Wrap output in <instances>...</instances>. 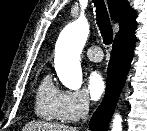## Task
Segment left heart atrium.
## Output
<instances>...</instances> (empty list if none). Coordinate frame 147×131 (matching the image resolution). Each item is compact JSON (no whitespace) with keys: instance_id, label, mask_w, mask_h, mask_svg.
Here are the masks:
<instances>
[{"instance_id":"left-heart-atrium-1","label":"left heart atrium","mask_w":147,"mask_h":131,"mask_svg":"<svg viewBox=\"0 0 147 131\" xmlns=\"http://www.w3.org/2000/svg\"><path fill=\"white\" fill-rule=\"evenodd\" d=\"M88 92L93 100H98L105 92L106 84L103 76L98 71H93L87 80Z\"/></svg>"}]
</instances>
